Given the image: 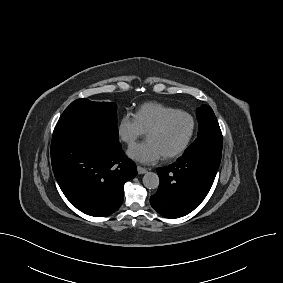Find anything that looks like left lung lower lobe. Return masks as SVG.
Instances as JSON below:
<instances>
[{
	"label": "left lung lower lobe",
	"mask_w": 283,
	"mask_h": 283,
	"mask_svg": "<svg viewBox=\"0 0 283 283\" xmlns=\"http://www.w3.org/2000/svg\"><path fill=\"white\" fill-rule=\"evenodd\" d=\"M221 158L206 152L183 155L176 163L158 168V191L150 204L166 218H179L192 212L208 194Z\"/></svg>",
	"instance_id": "1"
}]
</instances>
